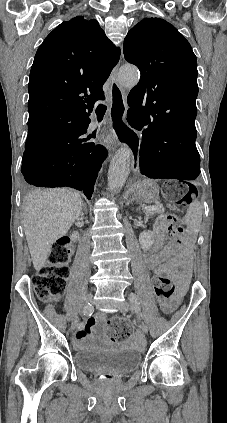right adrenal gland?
<instances>
[{"label": "right adrenal gland", "instance_id": "right-adrenal-gland-1", "mask_svg": "<svg viewBox=\"0 0 227 423\" xmlns=\"http://www.w3.org/2000/svg\"><path fill=\"white\" fill-rule=\"evenodd\" d=\"M83 208H84V213H87L86 204H83Z\"/></svg>", "mask_w": 227, "mask_h": 423}]
</instances>
